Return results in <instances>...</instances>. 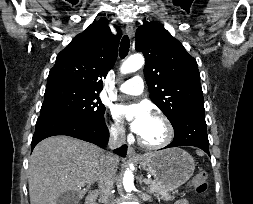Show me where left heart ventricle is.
Wrapping results in <instances>:
<instances>
[{"label":"left heart ventricle","instance_id":"left-heart-ventricle-1","mask_svg":"<svg viewBox=\"0 0 253 204\" xmlns=\"http://www.w3.org/2000/svg\"><path fill=\"white\" fill-rule=\"evenodd\" d=\"M139 136L148 143H159L166 136V128L160 120L151 117Z\"/></svg>","mask_w":253,"mask_h":204}]
</instances>
